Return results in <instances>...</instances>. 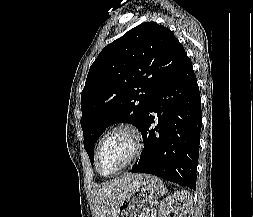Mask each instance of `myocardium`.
Listing matches in <instances>:
<instances>
[{
    "label": "myocardium",
    "mask_w": 253,
    "mask_h": 217,
    "mask_svg": "<svg viewBox=\"0 0 253 217\" xmlns=\"http://www.w3.org/2000/svg\"><path fill=\"white\" fill-rule=\"evenodd\" d=\"M119 132L125 133L131 138L132 143H133L132 154L130 155L128 160L122 166H120L117 170H115L114 172H112L110 174H104L99 170V166H98L100 150H101L103 144L105 143V141L109 137H111L113 134L119 133ZM142 151H143V138H142V135L139 132V130L137 128L127 125V124L117 125V126L111 128L105 135H103V137L98 142L96 150H95V158H94L95 169H96L97 173L103 177H111V176L117 175L120 172H122L124 169L129 167L131 164H133L140 157Z\"/></svg>",
    "instance_id": "obj_1"
}]
</instances>
